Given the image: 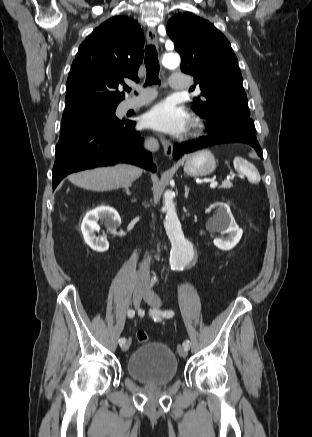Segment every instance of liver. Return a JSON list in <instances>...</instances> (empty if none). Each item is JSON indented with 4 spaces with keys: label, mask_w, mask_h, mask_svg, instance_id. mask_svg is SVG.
Returning <instances> with one entry per match:
<instances>
[{
    "label": "liver",
    "mask_w": 312,
    "mask_h": 437,
    "mask_svg": "<svg viewBox=\"0 0 312 437\" xmlns=\"http://www.w3.org/2000/svg\"><path fill=\"white\" fill-rule=\"evenodd\" d=\"M142 175V169L119 163L112 167H100L72 174L68 180L83 189L104 192L129 187Z\"/></svg>",
    "instance_id": "6515ba94"
}]
</instances>
